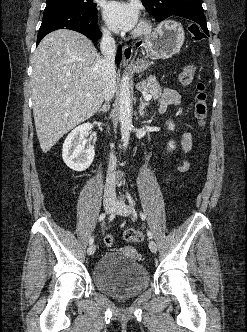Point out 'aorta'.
<instances>
[{
    "label": "aorta",
    "mask_w": 247,
    "mask_h": 332,
    "mask_svg": "<svg viewBox=\"0 0 247 332\" xmlns=\"http://www.w3.org/2000/svg\"><path fill=\"white\" fill-rule=\"evenodd\" d=\"M119 120L121 125L122 142L124 148H126L129 143L130 130L132 127V107L128 75H124L121 80L119 94Z\"/></svg>",
    "instance_id": "1"
}]
</instances>
